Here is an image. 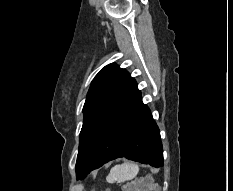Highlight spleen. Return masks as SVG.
Here are the masks:
<instances>
[{
  "mask_svg": "<svg viewBox=\"0 0 233 191\" xmlns=\"http://www.w3.org/2000/svg\"><path fill=\"white\" fill-rule=\"evenodd\" d=\"M139 172V166L135 163L125 162L113 167L106 177L107 182L123 183L128 180H132L137 176Z\"/></svg>",
  "mask_w": 233,
  "mask_h": 191,
  "instance_id": "3e777b00",
  "label": "spleen"
}]
</instances>
